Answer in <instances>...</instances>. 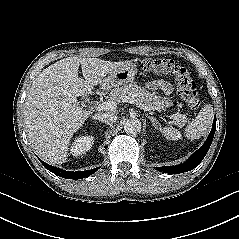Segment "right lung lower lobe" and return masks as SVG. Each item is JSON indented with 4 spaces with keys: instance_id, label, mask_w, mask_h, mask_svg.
<instances>
[{
    "instance_id": "1",
    "label": "right lung lower lobe",
    "mask_w": 239,
    "mask_h": 239,
    "mask_svg": "<svg viewBox=\"0 0 239 239\" xmlns=\"http://www.w3.org/2000/svg\"><path fill=\"white\" fill-rule=\"evenodd\" d=\"M40 162L43 164V166L46 169H48L52 173H54L60 177H63L65 179H81V178L87 177V176L95 173L100 168V167H97V168L87 170V171L69 172V171L62 170L60 168L53 167L41 160H40Z\"/></svg>"
}]
</instances>
